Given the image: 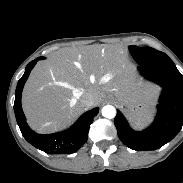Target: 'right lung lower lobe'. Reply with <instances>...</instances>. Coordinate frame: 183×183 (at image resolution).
I'll use <instances>...</instances> for the list:
<instances>
[{
  "label": "right lung lower lobe",
  "instance_id": "obj_1",
  "mask_svg": "<svg viewBox=\"0 0 183 183\" xmlns=\"http://www.w3.org/2000/svg\"><path fill=\"white\" fill-rule=\"evenodd\" d=\"M42 59L44 57H38L31 61L26 66L24 75L18 81L14 102L16 120L22 135L34 147L48 154H71L76 152L87 141L90 125L94 116L98 114L99 108H94L84 113L73 126L64 132L37 134L31 130L21 107V94L32 68L38 60Z\"/></svg>",
  "mask_w": 183,
  "mask_h": 183
}]
</instances>
